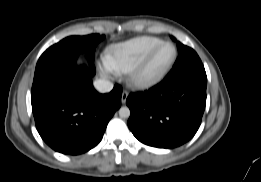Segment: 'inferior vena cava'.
<instances>
[{
	"mask_svg": "<svg viewBox=\"0 0 261 182\" xmlns=\"http://www.w3.org/2000/svg\"><path fill=\"white\" fill-rule=\"evenodd\" d=\"M94 87L100 93H107L113 89V83L109 80L99 79L94 82Z\"/></svg>",
	"mask_w": 261,
	"mask_h": 182,
	"instance_id": "602c4592",
	"label": "inferior vena cava"
}]
</instances>
